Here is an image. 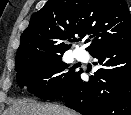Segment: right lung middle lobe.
Returning a JSON list of instances; mask_svg holds the SVG:
<instances>
[{"label": "right lung middle lobe", "mask_w": 131, "mask_h": 115, "mask_svg": "<svg viewBox=\"0 0 131 115\" xmlns=\"http://www.w3.org/2000/svg\"><path fill=\"white\" fill-rule=\"evenodd\" d=\"M63 53L33 54L18 62L15 70L19 86H26L30 93L44 100L60 98L78 74L62 61Z\"/></svg>", "instance_id": "1"}]
</instances>
